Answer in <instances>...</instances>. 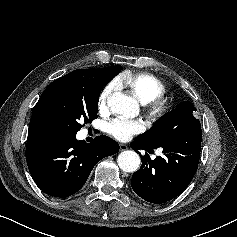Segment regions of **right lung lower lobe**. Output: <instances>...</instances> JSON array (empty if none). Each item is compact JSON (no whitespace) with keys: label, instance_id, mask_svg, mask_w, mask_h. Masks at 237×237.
Here are the masks:
<instances>
[{"label":"right lung lower lobe","instance_id":"right-lung-lower-lobe-1","mask_svg":"<svg viewBox=\"0 0 237 237\" xmlns=\"http://www.w3.org/2000/svg\"><path fill=\"white\" fill-rule=\"evenodd\" d=\"M119 144L108 136L91 143L78 141L76 134L41 131L28 135L26 160L37 186L55 197H68L79 191L93 167L116 154Z\"/></svg>","mask_w":237,"mask_h":237}]
</instances>
